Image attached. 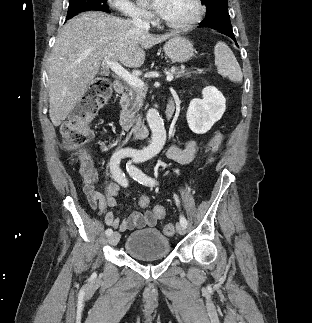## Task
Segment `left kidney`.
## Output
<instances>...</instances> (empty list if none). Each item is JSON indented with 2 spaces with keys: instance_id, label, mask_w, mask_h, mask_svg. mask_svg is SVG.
Returning a JSON list of instances; mask_svg holds the SVG:
<instances>
[{
  "instance_id": "obj_1",
  "label": "left kidney",
  "mask_w": 312,
  "mask_h": 323,
  "mask_svg": "<svg viewBox=\"0 0 312 323\" xmlns=\"http://www.w3.org/2000/svg\"><path fill=\"white\" fill-rule=\"evenodd\" d=\"M203 100H191L187 110V122L194 134H206L213 124L221 120L225 110V98L214 86L202 90Z\"/></svg>"
}]
</instances>
